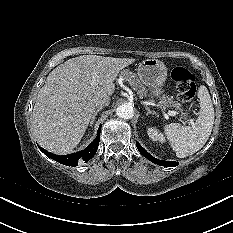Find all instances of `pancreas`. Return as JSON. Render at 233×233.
<instances>
[{
  "mask_svg": "<svg viewBox=\"0 0 233 233\" xmlns=\"http://www.w3.org/2000/svg\"><path fill=\"white\" fill-rule=\"evenodd\" d=\"M121 77L125 81H128L132 88L137 91V94L139 95L140 98L146 97L147 96V90L144 87V85L141 83V81L138 79V77L131 72L130 70L126 69L121 72ZM160 104L166 108V107H173L177 110L180 111L181 113V118L182 119H187L188 118V113L183 112L181 109V104L177 101H173V99L169 96H162L160 99Z\"/></svg>",
  "mask_w": 233,
  "mask_h": 233,
  "instance_id": "1",
  "label": "pancreas"
}]
</instances>
